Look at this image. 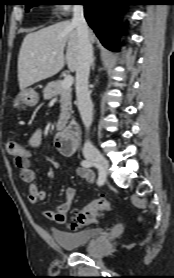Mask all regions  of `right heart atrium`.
<instances>
[{
	"label": "right heart atrium",
	"instance_id": "1",
	"mask_svg": "<svg viewBox=\"0 0 174 278\" xmlns=\"http://www.w3.org/2000/svg\"><path fill=\"white\" fill-rule=\"evenodd\" d=\"M71 9L70 5H59L56 8V12L59 15H66Z\"/></svg>",
	"mask_w": 174,
	"mask_h": 278
}]
</instances>
